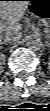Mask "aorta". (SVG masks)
<instances>
[{"mask_svg": "<svg viewBox=\"0 0 50 111\" xmlns=\"http://www.w3.org/2000/svg\"><path fill=\"white\" fill-rule=\"evenodd\" d=\"M26 46L31 50H40L43 47V42L40 36L31 35L26 39Z\"/></svg>", "mask_w": 50, "mask_h": 111, "instance_id": "obj_1", "label": "aorta"}]
</instances>
